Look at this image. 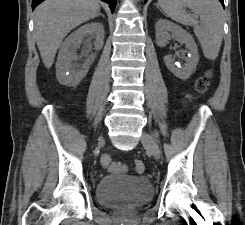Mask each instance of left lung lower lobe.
<instances>
[{"label": "left lung lower lobe", "mask_w": 245, "mask_h": 225, "mask_svg": "<svg viewBox=\"0 0 245 225\" xmlns=\"http://www.w3.org/2000/svg\"><path fill=\"white\" fill-rule=\"evenodd\" d=\"M221 2V4L224 6V1L223 0H219ZM144 2L146 3L147 0H144Z\"/></svg>", "instance_id": "0a47b994"}]
</instances>
